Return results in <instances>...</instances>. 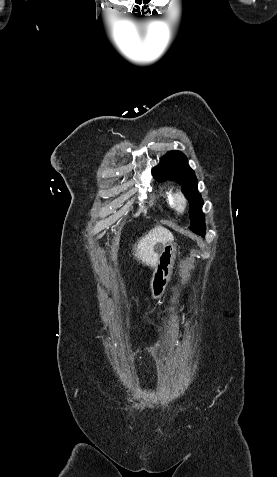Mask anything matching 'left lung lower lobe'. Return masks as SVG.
<instances>
[{"mask_svg": "<svg viewBox=\"0 0 277 477\" xmlns=\"http://www.w3.org/2000/svg\"><path fill=\"white\" fill-rule=\"evenodd\" d=\"M197 234L204 236V234H200V233H197Z\"/></svg>", "mask_w": 277, "mask_h": 477, "instance_id": "0a47b994", "label": "left lung lower lobe"}]
</instances>
